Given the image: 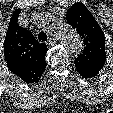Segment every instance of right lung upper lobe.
Returning <instances> with one entry per match:
<instances>
[{"instance_id":"right-lung-upper-lobe-1","label":"right lung upper lobe","mask_w":113,"mask_h":113,"mask_svg":"<svg viewBox=\"0 0 113 113\" xmlns=\"http://www.w3.org/2000/svg\"><path fill=\"white\" fill-rule=\"evenodd\" d=\"M21 9L13 12L4 41L8 69L26 83L40 80L45 68L47 46L39 43L25 28L18 25Z\"/></svg>"}]
</instances>
